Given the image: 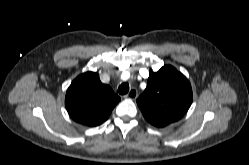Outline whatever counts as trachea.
I'll return each mask as SVG.
<instances>
[{"instance_id":"1","label":"trachea","mask_w":249,"mask_h":165,"mask_svg":"<svg viewBox=\"0 0 249 165\" xmlns=\"http://www.w3.org/2000/svg\"><path fill=\"white\" fill-rule=\"evenodd\" d=\"M128 91H129V84L128 83H122L119 85V87H118L119 94L125 95L128 93Z\"/></svg>"}]
</instances>
